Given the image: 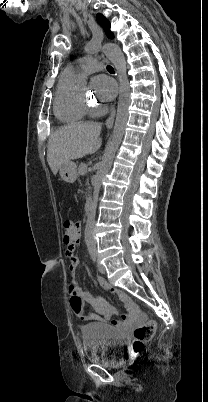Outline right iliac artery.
<instances>
[{"label": "right iliac artery", "mask_w": 208, "mask_h": 402, "mask_svg": "<svg viewBox=\"0 0 208 402\" xmlns=\"http://www.w3.org/2000/svg\"><path fill=\"white\" fill-rule=\"evenodd\" d=\"M91 259H92V261H93L94 263H96V255H95V254H92V255H91Z\"/></svg>", "instance_id": "right-iliac-artery-1"}]
</instances>
